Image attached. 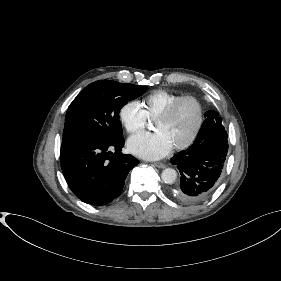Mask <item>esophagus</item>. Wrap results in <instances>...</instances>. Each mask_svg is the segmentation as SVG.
<instances>
[{
  "mask_svg": "<svg viewBox=\"0 0 281 281\" xmlns=\"http://www.w3.org/2000/svg\"><path fill=\"white\" fill-rule=\"evenodd\" d=\"M154 165L157 167V168H165V164L164 163H160V162H156L154 163Z\"/></svg>",
  "mask_w": 281,
  "mask_h": 281,
  "instance_id": "obj_1",
  "label": "esophagus"
}]
</instances>
